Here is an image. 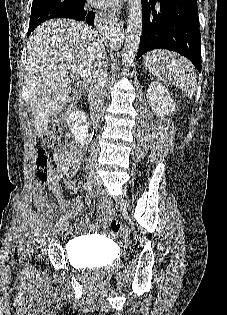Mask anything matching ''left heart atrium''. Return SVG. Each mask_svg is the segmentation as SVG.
I'll return each instance as SVG.
<instances>
[{"label": "left heart atrium", "instance_id": "39dd6f15", "mask_svg": "<svg viewBox=\"0 0 227 315\" xmlns=\"http://www.w3.org/2000/svg\"><path fill=\"white\" fill-rule=\"evenodd\" d=\"M96 5L103 8H113L118 5L120 0H92Z\"/></svg>", "mask_w": 227, "mask_h": 315}]
</instances>
